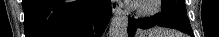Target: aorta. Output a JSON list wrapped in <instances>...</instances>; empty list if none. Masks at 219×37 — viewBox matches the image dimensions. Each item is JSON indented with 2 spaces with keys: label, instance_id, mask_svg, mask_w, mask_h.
Returning <instances> with one entry per match:
<instances>
[{
  "label": "aorta",
  "instance_id": "762f6f07",
  "mask_svg": "<svg viewBox=\"0 0 219 37\" xmlns=\"http://www.w3.org/2000/svg\"><path fill=\"white\" fill-rule=\"evenodd\" d=\"M128 17L124 11H117L110 22L109 37H127Z\"/></svg>",
  "mask_w": 219,
  "mask_h": 37
}]
</instances>
